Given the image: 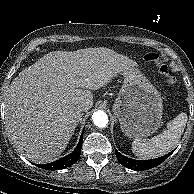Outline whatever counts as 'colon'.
Segmentation results:
<instances>
[{
	"instance_id": "1",
	"label": "colon",
	"mask_w": 194,
	"mask_h": 194,
	"mask_svg": "<svg viewBox=\"0 0 194 194\" xmlns=\"http://www.w3.org/2000/svg\"><path fill=\"white\" fill-rule=\"evenodd\" d=\"M144 60L147 63L156 65L158 73L169 85L175 84V78L171 75L168 66L161 61L160 55L158 53L148 52L145 54Z\"/></svg>"
}]
</instances>
